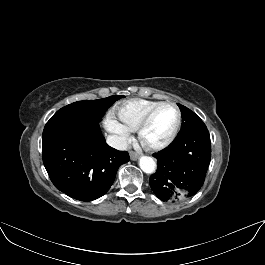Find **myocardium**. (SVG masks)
<instances>
[{"instance_id":"myocardium-1","label":"myocardium","mask_w":265,"mask_h":265,"mask_svg":"<svg viewBox=\"0 0 265 265\" xmlns=\"http://www.w3.org/2000/svg\"><path fill=\"white\" fill-rule=\"evenodd\" d=\"M164 106H172L176 113H177V120L176 123L174 125V128L172 129V131L170 132V134L166 137L165 140H163L162 142L158 143V144H147L144 140H143V132L145 131V129L147 128V126L149 125L151 119L153 118V116L155 115V113L162 107ZM181 123H182V114L181 111L179 109V107L171 101H165V102H160L157 105H155L154 107H152L141 119V121L139 122L137 128H136V136H137V140L139 142V144L147 151L150 152H156V151H160L165 149L166 147H168L173 140L175 139V137L177 136L180 127H181Z\"/></svg>"}]
</instances>
